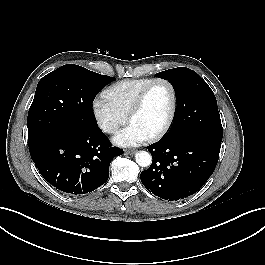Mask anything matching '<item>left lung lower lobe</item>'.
I'll return each instance as SVG.
<instances>
[{
    "label": "left lung lower lobe",
    "mask_w": 265,
    "mask_h": 265,
    "mask_svg": "<svg viewBox=\"0 0 265 265\" xmlns=\"http://www.w3.org/2000/svg\"><path fill=\"white\" fill-rule=\"evenodd\" d=\"M221 141L204 133L189 132L149 146L153 161L140 174L143 185L169 201L196 193L217 165Z\"/></svg>",
    "instance_id": "1"
}]
</instances>
